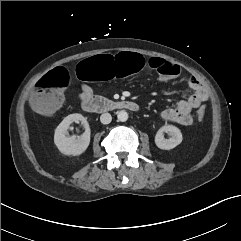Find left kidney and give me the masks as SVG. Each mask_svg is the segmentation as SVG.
<instances>
[{"label":"left kidney","mask_w":241,"mask_h":241,"mask_svg":"<svg viewBox=\"0 0 241 241\" xmlns=\"http://www.w3.org/2000/svg\"><path fill=\"white\" fill-rule=\"evenodd\" d=\"M164 133H168L171 137L165 139ZM182 139V133L179 128L173 125H164L156 133L155 144L160 149L170 150L179 145Z\"/></svg>","instance_id":"5707ae66"}]
</instances>
